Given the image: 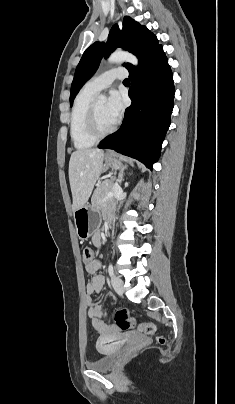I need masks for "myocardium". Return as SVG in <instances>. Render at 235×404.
Returning <instances> with one entry per match:
<instances>
[{"label":"myocardium","instance_id":"f54148a6","mask_svg":"<svg viewBox=\"0 0 235 404\" xmlns=\"http://www.w3.org/2000/svg\"><path fill=\"white\" fill-rule=\"evenodd\" d=\"M116 125L113 124L105 131H101L98 126L95 104H91L88 112L87 131L92 139L99 141L114 132Z\"/></svg>","mask_w":235,"mask_h":404}]
</instances>
